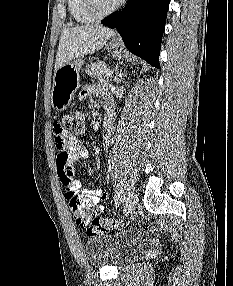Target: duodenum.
Wrapping results in <instances>:
<instances>
[{
  "instance_id": "410a0bca",
  "label": "duodenum",
  "mask_w": 233,
  "mask_h": 286,
  "mask_svg": "<svg viewBox=\"0 0 233 286\" xmlns=\"http://www.w3.org/2000/svg\"><path fill=\"white\" fill-rule=\"evenodd\" d=\"M113 119H114V113H113V111L111 109H108L107 113H106V123L111 124Z\"/></svg>"
}]
</instances>
